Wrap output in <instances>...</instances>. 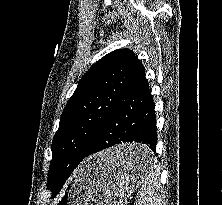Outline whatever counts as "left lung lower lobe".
<instances>
[{
    "label": "left lung lower lobe",
    "instance_id": "0a47b994",
    "mask_svg": "<svg viewBox=\"0 0 222 205\" xmlns=\"http://www.w3.org/2000/svg\"><path fill=\"white\" fill-rule=\"evenodd\" d=\"M154 107L141 64L109 111L88 151L81 156L67 153L58 162V168L65 174L52 191V197L58 194L64 182L84 158L116 144L134 141L148 145V150L128 151L119 158L121 162L132 165L147 164L152 157L151 150L155 152L157 143Z\"/></svg>",
    "mask_w": 222,
    "mask_h": 205
}]
</instances>
